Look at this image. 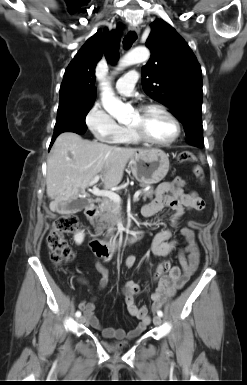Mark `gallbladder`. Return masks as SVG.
<instances>
[{
  "instance_id": "gallbladder-1",
  "label": "gallbladder",
  "mask_w": 247,
  "mask_h": 385,
  "mask_svg": "<svg viewBox=\"0 0 247 385\" xmlns=\"http://www.w3.org/2000/svg\"><path fill=\"white\" fill-rule=\"evenodd\" d=\"M90 201L85 198H78L69 202L64 209L59 207L61 213H76L88 206Z\"/></svg>"
}]
</instances>
